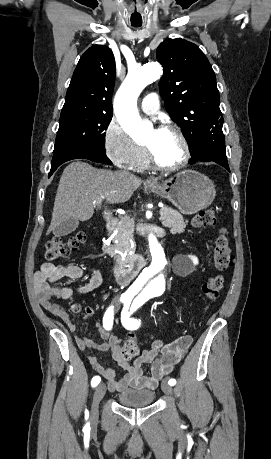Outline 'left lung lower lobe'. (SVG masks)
Masks as SVG:
<instances>
[{"label":"left lung lower lobe","instance_id":"obj_1","mask_svg":"<svg viewBox=\"0 0 271 459\" xmlns=\"http://www.w3.org/2000/svg\"><path fill=\"white\" fill-rule=\"evenodd\" d=\"M222 126L216 127L205 136V147L202 154L197 159L191 160L190 164L198 161H213L230 171L226 157L225 137L222 132Z\"/></svg>","mask_w":271,"mask_h":459}]
</instances>
